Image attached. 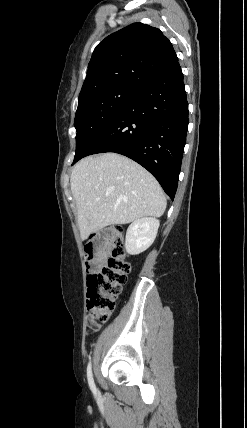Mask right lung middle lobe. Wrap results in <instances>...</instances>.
Instances as JSON below:
<instances>
[{
    "instance_id": "right-lung-middle-lobe-1",
    "label": "right lung middle lobe",
    "mask_w": 247,
    "mask_h": 428,
    "mask_svg": "<svg viewBox=\"0 0 247 428\" xmlns=\"http://www.w3.org/2000/svg\"><path fill=\"white\" fill-rule=\"evenodd\" d=\"M139 91L129 86H113L79 96L74 120L77 130L74 159L84 153Z\"/></svg>"
}]
</instances>
